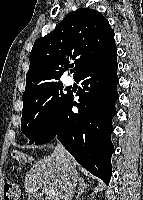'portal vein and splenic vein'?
I'll return each instance as SVG.
<instances>
[{
  "label": "portal vein and splenic vein",
  "mask_w": 143,
  "mask_h": 200,
  "mask_svg": "<svg viewBox=\"0 0 143 200\" xmlns=\"http://www.w3.org/2000/svg\"><path fill=\"white\" fill-rule=\"evenodd\" d=\"M43 192H45V193L48 194V195L54 194V193L48 192L46 188H43Z\"/></svg>",
  "instance_id": "obj_1"
}]
</instances>
